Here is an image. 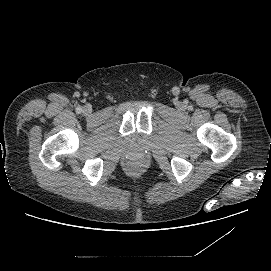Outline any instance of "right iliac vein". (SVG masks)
Here are the masks:
<instances>
[{"label":"right iliac vein","instance_id":"right-iliac-vein-1","mask_svg":"<svg viewBox=\"0 0 271 271\" xmlns=\"http://www.w3.org/2000/svg\"><path fill=\"white\" fill-rule=\"evenodd\" d=\"M82 112L86 115L90 114L92 112V108L88 105L84 106L82 109Z\"/></svg>","mask_w":271,"mask_h":271}]
</instances>
